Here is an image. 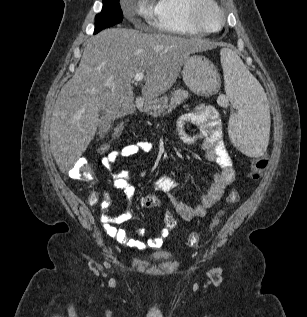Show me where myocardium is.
I'll list each match as a JSON object with an SVG mask.
<instances>
[{"label":"myocardium","instance_id":"myocardium-1","mask_svg":"<svg viewBox=\"0 0 307 317\" xmlns=\"http://www.w3.org/2000/svg\"><path fill=\"white\" fill-rule=\"evenodd\" d=\"M207 9L215 11L219 18V23L216 28H210L205 23L204 13ZM190 13L194 25L204 33H215L220 31L225 22V15L215 0H196L190 8Z\"/></svg>","mask_w":307,"mask_h":317}]
</instances>
